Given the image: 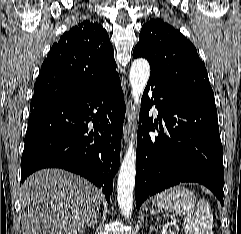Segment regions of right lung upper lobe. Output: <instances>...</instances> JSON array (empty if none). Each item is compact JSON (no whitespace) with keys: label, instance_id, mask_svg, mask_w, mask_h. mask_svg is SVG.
I'll return each instance as SVG.
<instances>
[{"label":"right lung upper lobe","instance_id":"cb5924a9","mask_svg":"<svg viewBox=\"0 0 241 234\" xmlns=\"http://www.w3.org/2000/svg\"><path fill=\"white\" fill-rule=\"evenodd\" d=\"M107 31L84 21L54 43L34 85L31 105L87 92L117 75Z\"/></svg>","mask_w":241,"mask_h":234}]
</instances>
